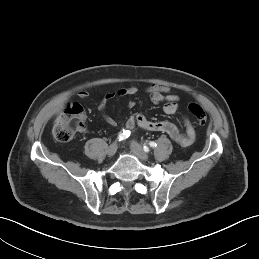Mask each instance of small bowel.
<instances>
[{"mask_svg": "<svg viewBox=\"0 0 259 259\" xmlns=\"http://www.w3.org/2000/svg\"><path fill=\"white\" fill-rule=\"evenodd\" d=\"M145 93L154 103H164L163 111L169 116H173L178 111V93L166 86L161 84H151L144 89ZM138 92L136 86H128L119 88L113 92L106 94L99 104V111L105 120V122L111 126L116 125V121L108 115L107 104L109 101L115 97H125L134 95ZM77 96L80 99H87L89 97V92L86 90H81L78 92ZM184 132H181L177 125L171 121H150L142 114L131 115L126 122V129L133 132L136 127L144 129L150 132H160L168 135L172 141L181 147H189L195 139V129L188 118L183 119ZM83 131L84 127L81 128Z\"/></svg>", "mask_w": 259, "mask_h": 259, "instance_id": "small-bowel-1", "label": "small bowel"}]
</instances>
